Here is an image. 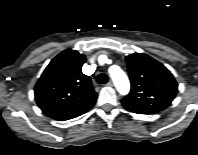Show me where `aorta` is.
<instances>
[{
  "label": "aorta",
  "mask_w": 198,
  "mask_h": 155,
  "mask_svg": "<svg viewBox=\"0 0 198 155\" xmlns=\"http://www.w3.org/2000/svg\"><path fill=\"white\" fill-rule=\"evenodd\" d=\"M109 73L118 92L123 95L127 94L130 89V83L125 72L118 66H113L109 69Z\"/></svg>",
  "instance_id": "obj_1"
}]
</instances>
